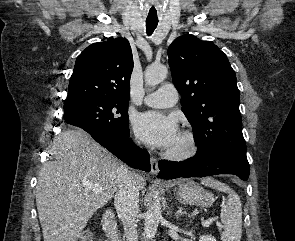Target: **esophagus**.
<instances>
[{
    "instance_id": "1",
    "label": "esophagus",
    "mask_w": 295,
    "mask_h": 241,
    "mask_svg": "<svg viewBox=\"0 0 295 241\" xmlns=\"http://www.w3.org/2000/svg\"><path fill=\"white\" fill-rule=\"evenodd\" d=\"M150 163H151V173L153 175H157L159 172L158 160L152 156L150 159Z\"/></svg>"
}]
</instances>
